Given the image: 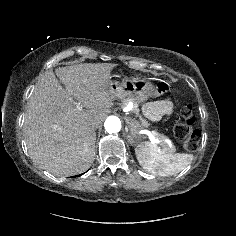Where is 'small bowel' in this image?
Here are the masks:
<instances>
[{"mask_svg": "<svg viewBox=\"0 0 236 236\" xmlns=\"http://www.w3.org/2000/svg\"><path fill=\"white\" fill-rule=\"evenodd\" d=\"M171 109L168 102H153L149 106L151 114L156 115L159 113L169 112Z\"/></svg>", "mask_w": 236, "mask_h": 236, "instance_id": "c3829d8e", "label": "small bowel"}]
</instances>
